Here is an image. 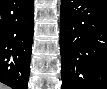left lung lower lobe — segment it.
I'll return each instance as SVG.
<instances>
[{"mask_svg":"<svg viewBox=\"0 0 107 89\" xmlns=\"http://www.w3.org/2000/svg\"><path fill=\"white\" fill-rule=\"evenodd\" d=\"M62 89H107V0H62Z\"/></svg>","mask_w":107,"mask_h":89,"instance_id":"obj_1","label":"left lung lower lobe"}]
</instances>
